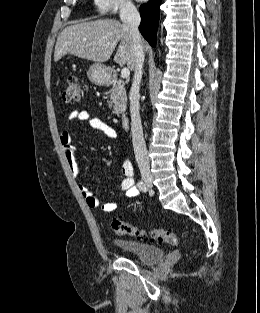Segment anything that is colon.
Returning a JSON list of instances; mask_svg holds the SVG:
<instances>
[{"instance_id":"5ec220e1","label":"colon","mask_w":260,"mask_h":313,"mask_svg":"<svg viewBox=\"0 0 260 313\" xmlns=\"http://www.w3.org/2000/svg\"><path fill=\"white\" fill-rule=\"evenodd\" d=\"M81 98V88L76 77H70L63 91V100L66 102L79 101ZM113 231L120 236L136 237L142 240H154L160 243L176 245L177 236L170 230L164 228H140L117 218L110 220ZM196 247L194 251H197Z\"/></svg>"}]
</instances>
